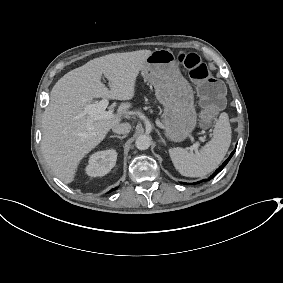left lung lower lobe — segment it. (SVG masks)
Returning a JSON list of instances; mask_svg holds the SVG:
<instances>
[{
    "label": "left lung lower lobe",
    "mask_w": 283,
    "mask_h": 283,
    "mask_svg": "<svg viewBox=\"0 0 283 283\" xmlns=\"http://www.w3.org/2000/svg\"><path fill=\"white\" fill-rule=\"evenodd\" d=\"M235 150H236V149H235ZM235 150L231 153V155L229 156V158L222 164V166H220V167L210 176V178L207 179V180H210V179L214 178V177L226 166V164L229 162V160H230L231 157L233 156ZM207 180H201V181H199V182H196L195 184H199V183L204 182V181H207ZM182 184H184V183H182Z\"/></svg>",
    "instance_id": "1"
}]
</instances>
